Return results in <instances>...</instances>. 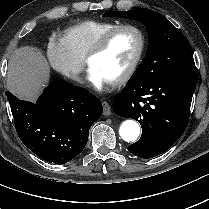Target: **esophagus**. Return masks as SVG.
Here are the masks:
<instances>
[{"label":"esophagus","instance_id":"obj_1","mask_svg":"<svg viewBox=\"0 0 209 209\" xmlns=\"http://www.w3.org/2000/svg\"><path fill=\"white\" fill-rule=\"evenodd\" d=\"M102 106H103V114L105 116L111 115V107H110L109 103L106 101H103Z\"/></svg>","mask_w":209,"mask_h":209}]
</instances>
